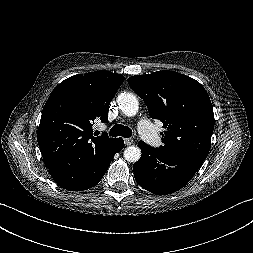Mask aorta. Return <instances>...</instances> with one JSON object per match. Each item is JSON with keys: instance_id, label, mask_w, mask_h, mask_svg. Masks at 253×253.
Wrapping results in <instances>:
<instances>
[{"instance_id": "aorta-1", "label": "aorta", "mask_w": 253, "mask_h": 253, "mask_svg": "<svg viewBox=\"0 0 253 253\" xmlns=\"http://www.w3.org/2000/svg\"><path fill=\"white\" fill-rule=\"evenodd\" d=\"M117 103L119 109L128 117L135 116L139 109V102L137 97L128 92L118 95ZM124 158L128 162H137L141 157V150L137 146H129L124 150Z\"/></svg>"}]
</instances>
